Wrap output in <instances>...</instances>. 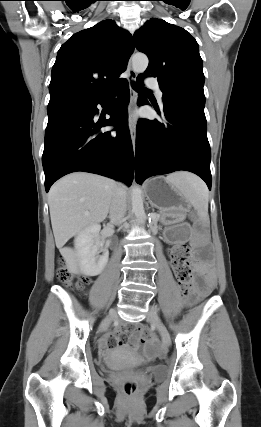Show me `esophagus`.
<instances>
[{"instance_id": "esophagus-1", "label": "esophagus", "mask_w": 261, "mask_h": 427, "mask_svg": "<svg viewBox=\"0 0 261 427\" xmlns=\"http://www.w3.org/2000/svg\"><path fill=\"white\" fill-rule=\"evenodd\" d=\"M127 70H128L129 77H130L131 81H134L136 79V77H137V73L133 69L131 57H130V59L128 61ZM134 105H135V93H134V91H132L131 92V102H130V110L131 111L133 110ZM130 136H131L133 151L135 153V147H136V128H135V124H131L130 125Z\"/></svg>"}]
</instances>
